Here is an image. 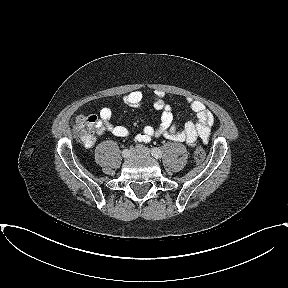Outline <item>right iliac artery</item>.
Here are the masks:
<instances>
[{"label": "right iliac artery", "instance_id": "82829eb1", "mask_svg": "<svg viewBox=\"0 0 288 288\" xmlns=\"http://www.w3.org/2000/svg\"><path fill=\"white\" fill-rule=\"evenodd\" d=\"M121 154H122V157H123L124 159H127V158L129 157V151H128L127 149H123V150L121 151Z\"/></svg>", "mask_w": 288, "mask_h": 288}]
</instances>
